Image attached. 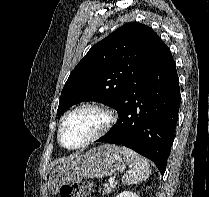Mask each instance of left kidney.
Masks as SVG:
<instances>
[{
  "instance_id": "1",
  "label": "left kidney",
  "mask_w": 209,
  "mask_h": 197,
  "mask_svg": "<svg viewBox=\"0 0 209 197\" xmlns=\"http://www.w3.org/2000/svg\"><path fill=\"white\" fill-rule=\"evenodd\" d=\"M116 197H139L136 193L131 191H123Z\"/></svg>"
}]
</instances>
